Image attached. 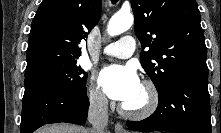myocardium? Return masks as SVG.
<instances>
[{"instance_id":"obj_1","label":"myocardium","mask_w":221,"mask_h":133,"mask_svg":"<svg viewBox=\"0 0 221 133\" xmlns=\"http://www.w3.org/2000/svg\"><path fill=\"white\" fill-rule=\"evenodd\" d=\"M142 87L146 92V102L138 108H129L123 104L120 109L123 116L131 119H144L156 111L159 104V92L156 85L150 80H144Z\"/></svg>"}]
</instances>
